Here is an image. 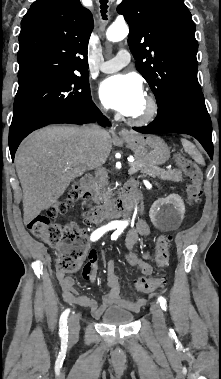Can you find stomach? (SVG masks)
Wrapping results in <instances>:
<instances>
[{
  "instance_id": "stomach-1",
  "label": "stomach",
  "mask_w": 221,
  "mask_h": 379,
  "mask_svg": "<svg viewBox=\"0 0 221 379\" xmlns=\"http://www.w3.org/2000/svg\"><path fill=\"white\" fill-rule=\"evenodd\" d=\"M123 140L134 152L135 157L151 166H158L170 158V149L164 140L155 135L130 133Z\"/></svg>"
}]
</instances>
